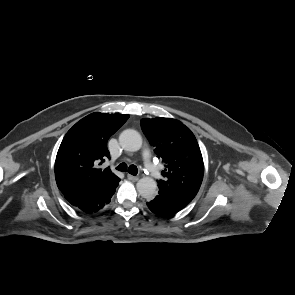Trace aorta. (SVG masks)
I'll use <instances>...</instances> for the list:
<instances>
[{"mask_svg":"<svg viewBox=\"0 0 295 295\" xmlns=\"http://www.w3.org/2000/svg\"><path fill=\"white\" fill-rule=\"evenodd\" d=\"M119 144L124 150L135 152L142 147V137L136 130L126 129L119 135ZM136 188L139 194L147 200H152L156 196L157 185L151 177L141 178Z\"/></svg>","mask_w":295,"mask_h":295,"instance_id":"aorta-1","label":"aorta"}]
</instances>
